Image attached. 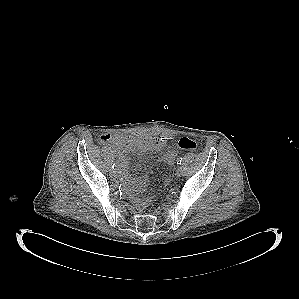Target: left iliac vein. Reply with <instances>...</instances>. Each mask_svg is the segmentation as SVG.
<instances>
[{
  "mask_svg": "<svg viewBox=\"0 0 299 299\" xmlns=\"http://www.w3.org/2000/svg\"><path fill=\"white\" fill-rule=\"evenodd\" d=\"M181 175H182V168H181V166H178L176 169V176L180 177Z\"/></svg>",
  "mask_w": 299,
  "mask_h": 299,
  "instance_id": "obj_1",
  "label": "left iliac vein"
}]
</instances>
